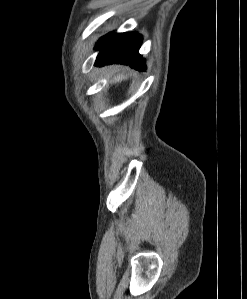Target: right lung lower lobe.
<instances>
[{
  "instance_id": "obj_1",
  "label": "right lung lower lobe",
  "mask_w": 247,
  "mask_h": 299,
  "mask_svg": "<svg viewBox=\"0 0 247 299\" xmlns=\"http://www.w3.org/2000/svg\"><path fill=\"white\" fill-rule=\"evenodd\" d=\"M142 37L136 32L110 33L102 37L97 49L100 50L96 65L120 63L140 71L146 70L144 59L139 54Z\"/></svg>"
}]
</instances>
